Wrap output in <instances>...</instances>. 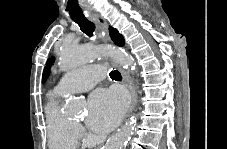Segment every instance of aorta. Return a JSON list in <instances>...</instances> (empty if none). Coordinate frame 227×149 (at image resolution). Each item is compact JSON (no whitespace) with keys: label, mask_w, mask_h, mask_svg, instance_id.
<instances>
[{"label":"aorta","mask_w":227,"mask_h":149,"mask_svg":"<svg viewBox=\"0 0 227 149\" xmlns=\"http://www.w3.org/2000/svg\"><path fill=\"white\" fill-rule=\"evenodd\" d=\"M106 54L110 55L116 62L132 67V59L121 49L107 51L102 48L78 46L73 43L63 44L58 65L61 70L69 71L82 64L101 58ZM74 102V100H70L69 103L74 104ZM134 122L135 120L132 118L118 129L106 143L105 149H124L128 139L133 134Z\"/></svg>","instance_id":"762f6f07"}]
</instances>
